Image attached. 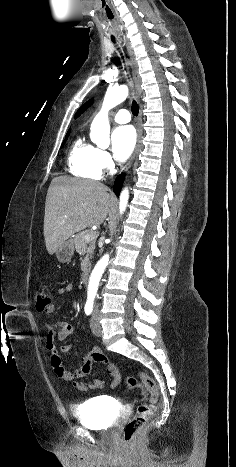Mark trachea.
I'll return each mask as SVG.
<instances>
[{
  "instance_id": "3493384b",
  "label": "trachea",
  "mask_w": 236,
  "mask_h": 467,
  "mask_svg": "<svg viewBox=\"0 0 236 467\" xmlns=\"http://www.w3.org/2000/svg\"><path fill=\"white\" fill-rule=\"evenodd\" d=\"M112 41L115 42V39L112 38ZM131 110H132V114H133L134 116H137V115H138V113H139V107H138V104H137V102H136L135 100H133V102H132Z\"/></svg>"
}]
</instances>
